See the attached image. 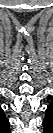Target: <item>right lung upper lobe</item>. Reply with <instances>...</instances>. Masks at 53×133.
Here are the masks:
<instances>
[{"label":"right lung upper lobe","instance_id":"right-lung-upper-lobe-1","mask_svg":"<svg viewBox=\"0 0 53 133\" xmlns=\"http://www.w3.org/2000/svg\"><path fill=\"white\" fill-rule=\"evenodd\" d=\"M9 121L5 117L4 111L0 108V129L5 130L6 132H9Z\"/></svg>","mask_w":53,"mask_h":133}]
</instances>
